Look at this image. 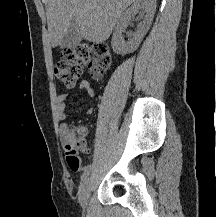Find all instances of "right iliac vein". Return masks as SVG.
Returning <instances> with one entry per match:
<instances>
[{
	"mask_svg": "<svg viewBox=\"0 0 216 217\" xmlns=\"http://www.w3.org/2000/svg\"><path fill=\"white\" fill-rule=\"evenodd\" d=\"M89 193H90V180L88 178L85 180V182L82 184L79 190V202L83 209H85L87 206Z\"/></svg>",
	"mask_w": 216,
	"mask_h": 217,
	"instance_id": "right-iliac-vein-1",
	"label": "right iliac vein"
}]
</instances>
